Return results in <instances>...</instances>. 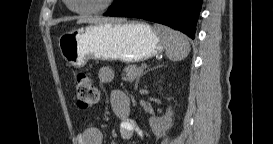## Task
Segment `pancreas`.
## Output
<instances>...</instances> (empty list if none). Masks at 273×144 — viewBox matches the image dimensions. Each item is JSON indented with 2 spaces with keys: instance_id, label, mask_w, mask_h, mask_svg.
<instances>
[{
  "instance_id": "pancreas-1",
  "label": "pancreas",
  "mask_w": 273,
  "mask_h": 144,
  "mask_svg": "<svg viewBox=\"0 0 273 144\" xmlns=\"http://www.w3.org/2000/svg\"><path fill=\"white\" fill-rule=\"evenodd\" d=\"M143 72V68L138 65H128L124 69V74L122 75V80L132 82L135 79H139Z\"/></svg>"
}]
</instances>
